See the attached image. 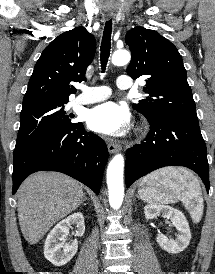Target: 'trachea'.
Segmentation results:
<instances>
[{"mask_svg":"<svg viewBox=\"0 0 215 274\" xmlns=\"http://www.w3.org/2000/svg\"><path fill=\"white\" fill-rule=\"evenodd\" d=\"M112 19L106 22L101 42V67L105 71L111 48Z\"/></svg>","mask_w":215,"mask_h":274,"instance_id":"1","label":"trachea"}]
</instances>
